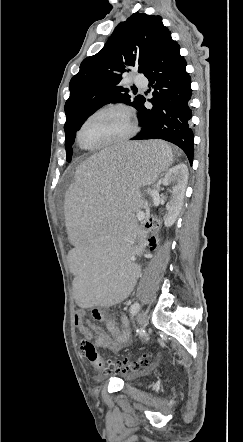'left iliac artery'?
<instances>
[{
    "mask_svg": "<svg viewBox=\"0 0 243 442\" xmlns=\"http://www.w3.org/2000/svg\"><path fill=\"white\" fill-rule=\"evenodd\" d=\"M140 309V304L138 302H135L130 307V313L132 315H135Z\"/></svg>",
    "mask_w": 243,
    "mask_h": 442,
    "instance_id": "obj_1",
    "label": "left iliac artery"
}]
</instances>
